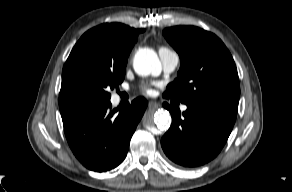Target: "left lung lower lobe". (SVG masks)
<instances>
[{
  "label": "left lung lower lobe",
  "mask_w": 292,
  "mask_h": 192,
  "mask_svg": "<svg viewBox=\"0 0 292 192\" xmlns=\"http://www.w3.org/2000/svg\"><path fill=\"white\" fill-rule=\"evenodd\" d=\"M172 125L161 145L170 160L184 167L203 165L223 148L236 120L237 110L213 105L187 106L181 113L163 104Z\"/></svg>",
  "instance_id": "1"
}]
</instances>
